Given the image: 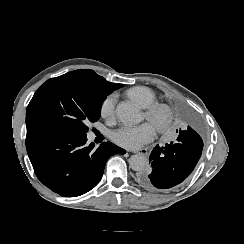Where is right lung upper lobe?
Masks as SVG:
<instances>
[{
  "instance_id": "obj_1",
  "label": "right lung upper lobe",
  "mask_w": 244,
  "mask_h": 244,
  "mask_svg": "<svg viewBox=\"0 0 244 244\" xmlns=\"http://www.w3.org/2000/svg\"><path fill=\"white\" fill-rule=\"evenodd\" d=\"M72 72H77V73H87L92 75L96 80L99 81L100 85L102 86L103 90L106 91L107 93H111L116 89H119L120 87H122V84H118V83H111L106 81L103 77L97 75L93 70H89V69H80V70H76V71H72Z\"/></svg>"
}]
</instances>
